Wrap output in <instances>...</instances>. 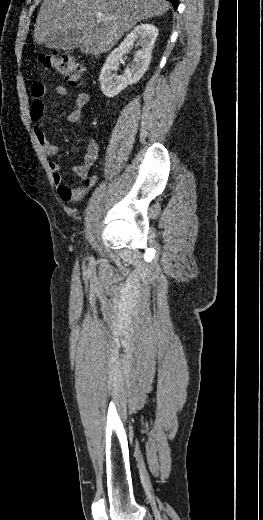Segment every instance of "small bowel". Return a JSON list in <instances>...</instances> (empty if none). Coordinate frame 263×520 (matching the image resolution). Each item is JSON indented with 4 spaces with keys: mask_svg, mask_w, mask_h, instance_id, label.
<instances>
[{
    "mask_svg": "<svg viewBox=\"0 0 263 520\" xmlns=\"http://www.w3.org/2000/svg\"><path fill=\"white\" fill-rule=\"evenodd\" d=\"M54 91L59 96H68L70 94L67 87L57 85ZM46 86L42 82H35L31 86V107L30 116L33 123L35 136L42 147L44 153L48 157H53L59 152V148L53 145L47 139L43 127L42 118L45 110L44 96ZM90 95L87 92H79L75 95L74 109L67 115V120L71 123H77L81 118V110L89 103ZM99 155V145L94 139H90L87 143L86 152L83 162L74 167V172L82 183L77 187H71L64 183L61 174V164L57 161L50 160L49 168L53 175V180L57 186L58 195L65 202H76L81 200L88 191L95 185L97 175L91 174L90 169L96 162Z\"/></svg>",
    "mask_w": 263,
    "mask_h": 520,
    "instance_id": "small-bowel-1",
    "label": "small bowel"
}]
</instances>
